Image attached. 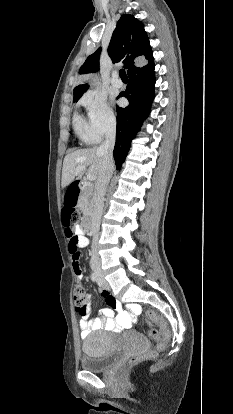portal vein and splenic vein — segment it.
<instances>
[{"mask_svg": "<svg viewBox=\"0 0 233 414\" xmlns=\"http://www.w3.org/2000/svg\"><path fill=\"white\" fill-rule=\"evenodd\" d=\"M81 170H85V167H81L80 169H78V170H76V174L77 173H79ZM87 179L89 180V181H94V180H96V176L94 175V174H88L87 175Z\"/></svg>", "mask_w": 233, "mask_h": 414, "instance_id": "1", "label": "portal vein and splenic vein"}]
</instances>
